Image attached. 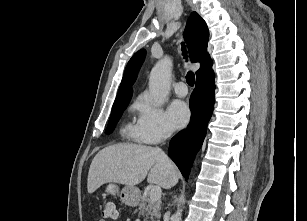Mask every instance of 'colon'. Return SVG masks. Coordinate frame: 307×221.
Segmentation results:
<instances>
[{
	"label": "colon",
	"mask_w": 307,
	"mask_h": 221,
	"mask_svg": "<svg viewBox=\"0 0 307 221\" xmlns=\"http://www.w3.org/2000/svg\"><path fill=\"white\" fill-rule=\"evenodd\" d=\"M100 216V221H108L116 217L115 205L112 201L103 202Z\"/></svg>",
	"instance_id": "1"
}]
</instances>
